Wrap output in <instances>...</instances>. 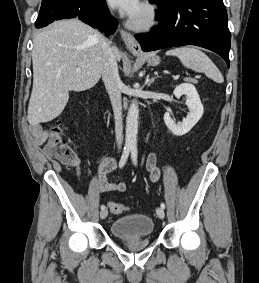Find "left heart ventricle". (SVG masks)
I'll return each mask as SVG.
<instances>
[{
	"mask_svg": "<svg viewBox=\"0 0 259 283\" xmlns=\"http://www.w3.org/2000/svg\"><path fill=\"white\" fill-rule=\"evenodd\" d=\"M143 18V11L142 9L139 10V12L135 15V20H141Z\"/></svg>",
	"mask_w": 259,
	"mask_h": 283,
	"instance_id": "left-heart-ventricle-1",
	"label": "left heart ventricle"
}]
</instances>
